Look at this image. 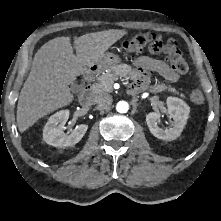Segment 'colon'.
<instances>
[{
    "mask_svg": "<svg viewBox=\"0 0 221 221\" xmlns=\"http://www.w3.org/2000/svg\"><path fill=\"white\" fill-rule=\"evenodd\" d=\"M123 48L126 52L133 55H138L145 50L164 52L175 72L183 74L188 70V64L174 39L165 40L156 33H142L124 41ZM189 98L197 105L202 104L204 101L203 93L198 87L190 91Z\"/></svg>",
    "mask_w": 221,
    "mask_h": 221,
    "instance_id": "obj_1",
    "label": "colon"
}]
</instances>
